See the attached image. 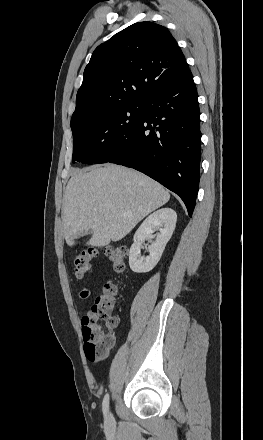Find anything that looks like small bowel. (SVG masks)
Segmentation results:
<instances>
[{
    "label": "small bowel",
    "mask_w": 263,
    "mask_h": 440,
    "mask_svg": "<svg viewBox=\"0 0 263 440\" xmlns=\"http://www.w3.org/2000/svg\"><path fill=\"white\" fill-rule=\"evenodd\" d=\"M90 296V290L88 288H82L78 291V298L80 300H86Z\"/></svg>",
    "instance_id": "1"
}]
</instances>
